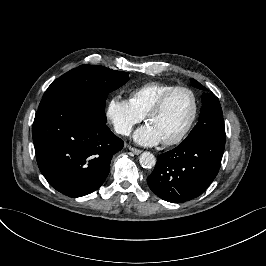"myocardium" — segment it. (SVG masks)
<instances>
[{"label": "myocardium", "instance_id": "1", "mask_svg": "<svg viewBox=\"0 0 266 266\" xmlns=\"http://www.w3.org/2000/svg\"><path fill=\"white\" fill-rule=\"evenodd\" d=\"M178 90L187 91L191 95V97L193 99L194 109H193V114L191 116L190 121L184 127V129L180 132V134L174 139L162 141L163 144H165L167 146H173V145L180 144L187 137V135L190 133V131L192 130V128H193V126L197 120L198 114H199V100H198L196 92L191 87H189L187 85H175L172 88L166 90L164 93H162L161 96L158 98V100L149 108V110L147 111V113L145 115V118L148 121V119L152 115L161 112L163 110L166 102L170 98V96Z\"/></svg>", "mask_w": 266, "mask_h": 266}]
</instances>
